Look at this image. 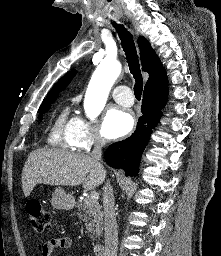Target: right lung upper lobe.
I'll return each mask as SVG.
<instances>
[{"label": "right lung upper lobe", "instance_id": "cb5924a9", "mask_svg": "<svg viewBox=\"0 0 221 256\" xmlns=\"http://www.w3.org/2000/svg\"><path fill=\"white\" fill-rule=\"evenodd\" d=\"M138 45L140 49V58L142 70L149 73V79L146 82L144 91H155L165 89L168 86L166 72L152 49L148 41L140 36L138 38ZM76 75V70H72L64 75L57 84L51 89L46 99L59 94L71 82Z\"/></svg>", "mask_w": 221, "mask_h": 256}]
</instances>
